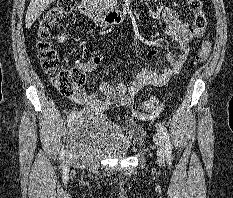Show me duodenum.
Wrapping results in <instances>:
<instances>
[{"instance_id": "1", "label": "duodenum", "mask_w": 233, "mask_h": 198, "mask_svg": "<svg viewBox=\"0 0 233 198\" xmlns=\"http://www.w3.org/2000/svg\"><path fill=\"white\" fill-rule=\"evenodd\" d=\"M81 14L91 18L96 24L109 26L123 22V15L119 11L104 10L93 0H81L79 5Z\"/></svg>"}]
</instances>
